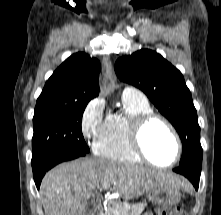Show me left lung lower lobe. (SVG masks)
<instances>
[{
  "mask_svg": "<svg viewBox=\"0 0 221 215\" xmlns=\"http://www.w3.org/2000/svg\"><path fill=\"white\" fill-rule=\"evenodd\" d=\"M173 171L184 175L192 182L195 189H198L201 174V166H197L194 164L181 165L175 168Z\"/></svg>",
  "mask_w": 221,
  "mask_h": 215,
  "instance_id": "1",
  "label": "left lung lower lobe"
}]
</instances>
